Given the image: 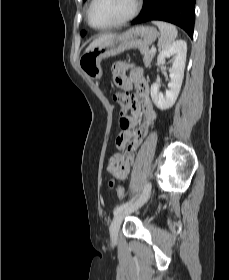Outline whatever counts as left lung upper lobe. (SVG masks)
Returning <instances> with one entry per match:
<instances>
[{
	"label": "left lung upper lobe",
	"instance_id": "1",
	"mask_svg": "<svg viewBox=\"0 0 229 280\" xmlns=\"http://www.w3.org/2000/svg\"><path fill=\"white\" fill-rule=\"evenodd\" d=\"M83 1H85V0H83ZM85 34H86L85 31H82V32H81V35H82V36H84Z\"/></svg>",
	"mask_w": 229,
	"mask_h": 280
}]
</instances>
